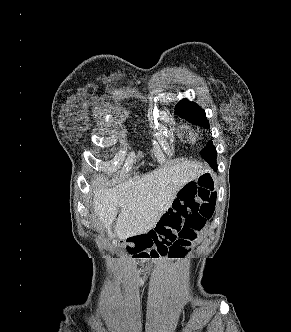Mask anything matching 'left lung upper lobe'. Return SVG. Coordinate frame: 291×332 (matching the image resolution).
Segmentation results:
<instances>
[{
	"mask_svg": "<svg viewBox=\"0 0 291 332\" xmlns=\"http://www.w3.org/2000/svg\"><path fill=\"white\" fill-rule=\"evenodd\" d=\"M176 114L181 118H185L193 123H196L204 128H209V122L206 118L205 111L196 103L187 99L179 101L175 107ZM201 156L212 166L216 163V148L209 142L207 147L200 151Z\"/></svg>",
	"mask_w": 291,
	"mask_h": 332,
	"instance_id": "left-lung-upper-lobe-1",
	"label": "left lung upper lobe"
}]
</instances>
